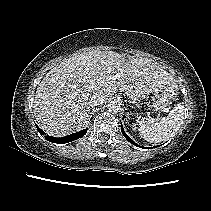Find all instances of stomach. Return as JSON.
Segmentation results:
<instances>
[{
	"label": "stomach",
	"instance_id": "1",
	"mask_svg": "<svg viewBox=\"0 0 211 211\" xmlns=\"http://www.w3.org/2000/svg\"><path fill=\"white\" fill-rule=\"evenodd\" d=\"M177 85L175 82L164 84L152 90L153 96L151 97L150 108L153 112L166 107L174 100L177 95ZM149 93L146 90L133 89L129 92V98L134 101H140L147 97Z\"/></svg>",
	"mask_w": 211,
	"mask_h": 211
}]
</instances>
